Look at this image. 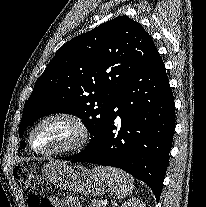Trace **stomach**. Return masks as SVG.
<instances>
[{"mask_svg":"<svg viewBox=\"0 0 206 207\" xmlns=\"http://www.w3.org/2000/svg\"><path fill=\"white\" fill-rule=\"evenodd\" d=\"M42 172L52 184L68 192L90 197L102 196L105 192L104 181L81 165L49 161L43 165Z\"/></svg>","mask_w":206,"mask_h":207,"instance_id":"stomach-1","label":"stomach"}]
</instances>
